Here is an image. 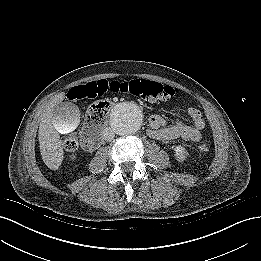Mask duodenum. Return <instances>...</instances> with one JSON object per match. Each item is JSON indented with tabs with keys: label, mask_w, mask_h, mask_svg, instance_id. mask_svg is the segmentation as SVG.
<instances>
[{
	"label": "duodenum",
	"mask_w": 261,
	"mask_h": 261,
	"mask_svg": "<svg viewBox=\"0 0 261 261\" xmlns=\"http://www.w3.org/2000/svg\"><path fill=\"white\" fill-rule=\"evenodd\" d=\"M84 145L90 150H94L99 147L102 141L101 135H95L91 129H86L82 135Z\"/></svg>",
	"instance_id": "1"
}]
</instances>
